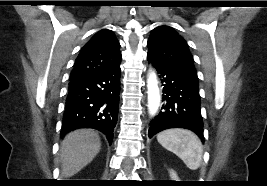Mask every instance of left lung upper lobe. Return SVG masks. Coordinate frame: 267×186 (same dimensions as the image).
Returning a JSON list of instances; mask_svg holds the SVG:
<instances>
[{
    "instance_id": "5c2ea615",
    "label": "left lung upper lobe",
    "mask_w": 267,
    "mask_h": 186,
    "mask_svg": "<svg viewBox=\"0 0 267 186\" xmlns=\"http://www.w3.org/2000/svg\"><path fill=\"white\" fill-rule=\"evenodd\" d=\"M148 58L198 83L193 56L186 41L168 26L156 27L148 40Z\"/></svg>"
}]
</instances>
